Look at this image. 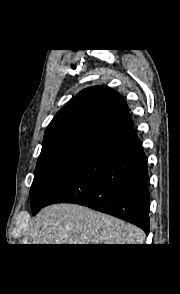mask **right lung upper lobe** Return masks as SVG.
<instances>
[{
  "label": "right lung upper lobe",
  "instance_id": "cb5924a9",
  "mask_svg": "<svg viewBox=\"0 0 180 294\" xmlns=\"http://www.w3.org/2000/svg\"><path fill=\"white\" fill-rule=\"evenodd\" d=\"M128 119V106L118 92L103 86L83 89L48 125L42 150L71 140L100 142Z\"/></svg>",
  "mask_w": 180,
  "mask_h": 294
}]
</instances>
